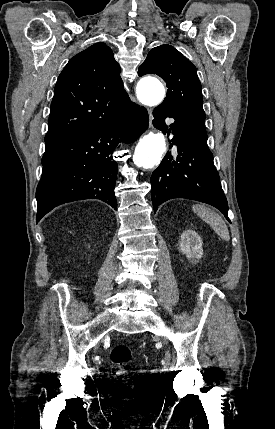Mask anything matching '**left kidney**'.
Returning <instances> with one entry per match:
<instances>
[{
  "instance_id": "1",
  "label": "left kidney",
  "mask_w": 275,
  "mask_h": 429,
  "mask_svg": "<svg viewBox=\"0 0 275 429\" xmlns=\"http://www.w3.org/2000/svg\"><path fill=\"white\" fill-rule=\"evenodd\" d=\"M202 239L194 230H186L182 233L179 247L192 264H196L203 255Z\"/></svg>"
}]
</instances>
